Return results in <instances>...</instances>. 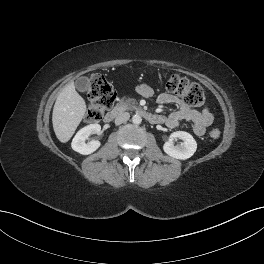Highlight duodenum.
<instances>
[{"label":"duodenum","instance_id":"duodenum-1","mask_svg":"<svg viewBox=\"0 0 264 264\" xmlns=\"http://www.w3.org/2000/svg\"><path fill=\"white\" fill-rule=\"evenodd\" d=\"M134 111L142 116L144 119H146L148 122L152 124H161L164 122V117L161 115L157 114H152L147 112L146 110L142 109L141 107H133ZM123 112L122 108H115L111 111H109L105 116H104V122L105 123H110L112 122L116 117L121 115Z\"/></svg>","mask_w":264,"mask_h":264}]
</instances>
